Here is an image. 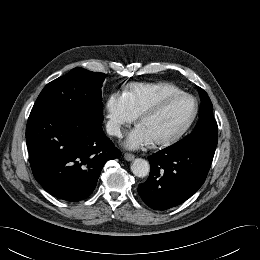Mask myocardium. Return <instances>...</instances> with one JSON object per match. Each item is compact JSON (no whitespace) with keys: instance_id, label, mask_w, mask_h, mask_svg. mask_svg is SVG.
I'll return each instance as SVG.
<instances>
[{"instance_id":"f54148a6","label":"myocardium","mask_w":260,"mask_h":260,"mask_svg":"<svg viewBox=\"0 0 260 260\" xmlns=\"http://www.w3.org/2000/svg\"><path fill=\"white\" fill-rule=\"evenodd\" d=\"M176 97L189 98L192 101L191 112L188 115L187 119L184 121V123L176 131H174L171 134L166 135L162 138L154 139L153 144H155L157 146H165V145H169V144L177 141L190 128V126L194 122V120L197 116V113H198V102H197L196 98L193 95H191L187 92H184V91H177V92L169 93V94H166V95L158 98L149 107L144 109L138 116V121H139V123H141L148 116L157 113L166 102H168L169 100L176 98Z\"/></svg>"}]
</instances>
